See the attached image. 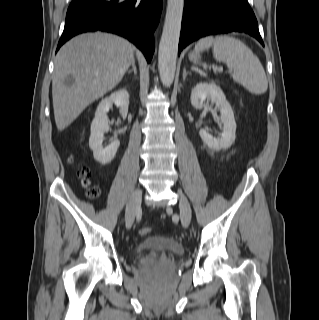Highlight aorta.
Masks as SVG:
<instances>
[{
  "instance_id": "762f6f07",
  "label": "aorta",
  "mask_w": 319,
  "mask_h": 320,
  "mask_svg": "<svg viewBox=\"0 0 319 320\" xmlns=\"http://www.w3.org/2000/svg\"><path fill=\"white\" fill-rule=\"evenodd\" d=\"M184 0H168L163 32L159 44L158 69L164 86L174 80Z\"/></svg>"
}]
</instances>
